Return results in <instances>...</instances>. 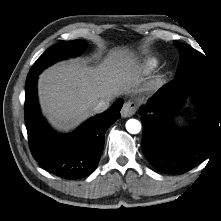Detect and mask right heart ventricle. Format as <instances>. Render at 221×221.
Wrapping results in <instances>:
<instances>
[{"label": "right heart ventricle", "mask_w": 221, "mask_h": 221, "mask_svg": "<svg viewBox=\"0 0 221 221\" xmlns=\"http://www.w3.org/2000/svg\"><path fill=\"white\" fill-rule=\"evenodd\" d=\"M156 65H157V61L154 59H149L145 63L146 69L148 70L153 69L154 67H156Z\"/></svg>", "instance_id": "1"}]
</instances>
